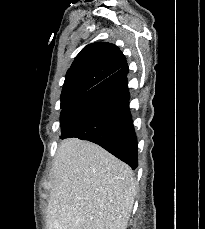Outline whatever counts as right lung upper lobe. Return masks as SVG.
<instances>
[{
    "label": "right lung upper lobe",
    "mask_w": 205,
    "mask_h": 229,
    "mask_svg": "<svg viewBox=\"0 0 205 229\" xmlns=\"http://www.w3.org/2000/svg\"><path fill=\"white\" fill-rule=\"evenodd\" d=\"M126 64L117 46L95 42L85 46L68 69L61 101L75 100Z\"/></svg>",
    "instance_id": "cb5924a9"
}]
</instances>
